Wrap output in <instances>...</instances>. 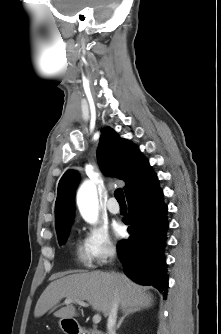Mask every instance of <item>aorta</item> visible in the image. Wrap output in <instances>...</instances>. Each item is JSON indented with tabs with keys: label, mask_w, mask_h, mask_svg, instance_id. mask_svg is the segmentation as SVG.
<instances>
[{
	"label": "aorta",
	"mask_w": 221,
	"mask_h": 334,
	"mask_svg": "<svg viewBox=\"0 0 221 334\" xmlns=\"http://www.w3.org/2000/svg\"><path fill=\"white\" fill-rule=\"evenodd\" d=\"M77 205L79 211L88 223H95L98 219V196L94 184L90 181L84 182L77 193Z\"/></svg>",
	"instance_id": "aorta-1"
}]
</instances>
